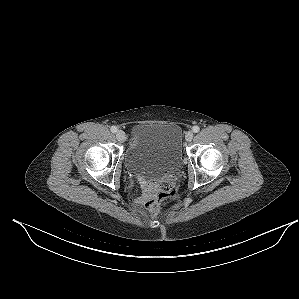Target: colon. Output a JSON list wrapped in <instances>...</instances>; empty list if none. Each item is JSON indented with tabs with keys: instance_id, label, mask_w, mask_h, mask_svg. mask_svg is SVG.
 Returning <instances> with one entry per match:
<instances>
[{
	"instance_id": "obj_1",
	"label": "colon",
	"mask_w": 299,
	"mask_h": 299,
	"mask_svg": "<svg viewBox=\"0 0 299 299\" xmlns=\"http://www.w3.org/2000/svg\"><path fill=\"white\" fill-rule=\"evenodd\" d=\"M175 192V181L172 178H167L151 185L146 202L148 210L151 213L157 212L160 208V205L165 200L174 196Z\"/></svg>"
}]
</instances>
